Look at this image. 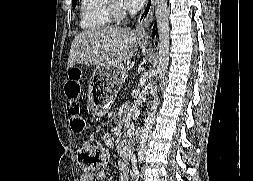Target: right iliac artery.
I'll return each instance as SVG.
<instances>
[{
	"instance_id": "1",
	"label": "right iliac artery",
	"mask_w": 253,
	"mask_h": 181,
	"mask_svg": "<svg viewBox=\"0 0 253 181\" xmlns=\"http://www.w3.org/2000/svg\"><path fill=\"white\" fill-rule=\"evenodd\" d=\"M137 162V160H134V163H136Z\"/></svg>"
}]
</instances>
